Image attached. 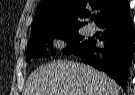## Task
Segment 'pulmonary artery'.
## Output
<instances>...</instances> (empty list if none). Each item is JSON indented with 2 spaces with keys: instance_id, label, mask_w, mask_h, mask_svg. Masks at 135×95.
Returning a JSON list of instances; mask_svg holds the SVG:
<instances>
[{
  "instance_id": "1",
  "label": "pulmonary artery",
  "mask_w": 135,
  "mask_h": 95,
  "mask_svg": "<svg viewBox=\"0 0 135 95\" xmlns=\"http://www.w3.org/2000/svg\"><path fill=\"white\" fill-rule=\"evenodd\" d=\"M96 29L93 25H89L87 28V32L91 35H93L95 33Z\"/></svg>"
}]
</instances>
